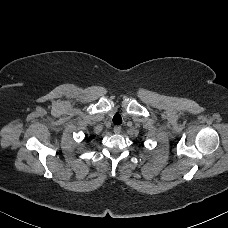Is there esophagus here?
<instances>
[{"mask_svg":"<svg viewBox=\"0 0 228 228\" xmlns=\"http://www.w3.org/2000/svg\"><path fill=\"white\" fill-rule=\"evenodd\" d=\"M113 130H114L115 134H119L121 132V127L120 126H115Z\"/></svg>","mask_w":228,"mask_h":228,"instance_id":"1","label":"esophagus"}]
</instances>
